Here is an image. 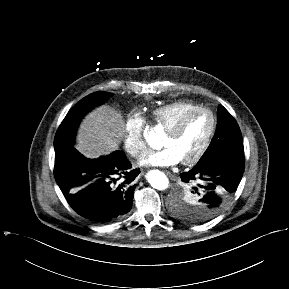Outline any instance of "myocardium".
<instances>
[{"label": "myocardium", "instance_id": "obj_1", "mask_svg": "<svg viewBox=\"0 0 289 289\" xmlns=\"http://www.w3.org/2000/svg\"><path fill=\"white\" fill-rule=\"evenodd\" d=\"M198 113H207L210 115L211 120H212V125H211V129L206 137V139L204 140V142L202 143V145L198 148V150L190 157L181 160V163L184 165H190V164H194L196 162H198L201 157L205 154V152L207 151V149L209 148L216 130H217V117L216 115L213 113L212 110L205 108V107H198L195 109H192L186 113H184L169 129L166 130V133L168 135L171 136H176L178 135L183 128L185 127L187 121L194 116L195 114Z\"/></svg>", "mask_w": 289, "mask_h": 289}]
</instances>
